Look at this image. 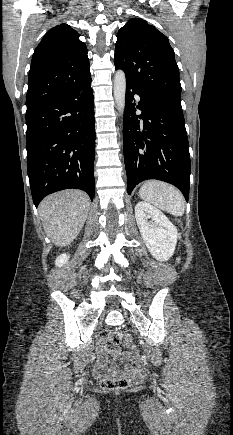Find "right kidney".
Wrapping results in <instances>:
<instances>
[{"mask_svg":"<svg viewBox=\"0 0 233 435\" xmlns=\"http://www.w3.org/2000/svg\"><path fill=\"white\" fill-rule=\"evenodd\" d=\"M69 260V254H61L56 258L55 265L58 267L63 266Z\"/></svg>","mask_w":233,"mask_h":435,"instance_id":"right-kidney-1","label":"right kidney"}]
</instances>
